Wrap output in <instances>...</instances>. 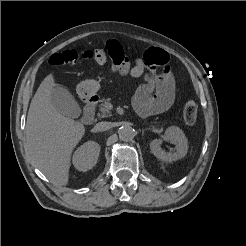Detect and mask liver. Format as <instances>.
<instances>
[{
  "label": "liver",
  "instance_id": "liver-1",
  "mask_svg": "<svg viewBox=\"0 0 246 246\" xmlns=\"http://www.w3.org/2000/svg\"><path fill=\"white\" fill-rule=\"evenodd\" d=\"M53 74L44 78L33 96L26 122L27 151L35 166L56 186L69 181L71 154L85 127L60 114L51 103Z\"/></svg>",
  "mask_w": 246,
  "mask_h": 246
}]
</instances>
